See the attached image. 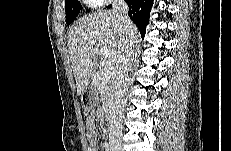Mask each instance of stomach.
Returning a JSON list of instances; mask_svg holds the SVG:
<instances>
[{
    "label": "stomach",
    "instance_id": "0dacf381",
    "mask_svg": "<svg viewBox=\"0 0 231 151\" xmlns=\"http://www.w3.org/2000/svg\"><path fill=\"white\" fill-rule=\"evenodd\" d=\"M97 100V90L91 86L82 96V104L85 108L92 107Z\"/></svg>",
    "mask_w": 231,
    "mask_h": 151
}]
</instances>
